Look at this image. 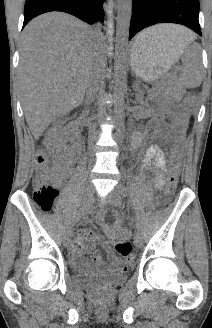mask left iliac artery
I'll list each match as a JSON object with an SVG mask.
<instances>
[{
	"label": "left iliac artery",
	"mask_w": 212,
	"mask_h": 328,
	"mask_svg": "<svg viewBox=\"0 0 212 328\" xmlns=\"http://www.w3.org/2000/svg\"><path fill=\"white\" fill-rule=\"evenodd\" d=\"M120 193L122 194V196L126 197L128 194H127V189L125 186L123 185H120ZM135 226H136V229L137 231L139 232L140 231V223L138 222V219L135 218Z\"/></svg>",
	"instance_id": "left-iliac-artery-1"
}]
</instances>
